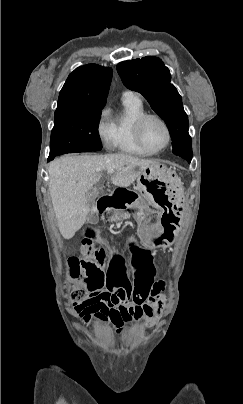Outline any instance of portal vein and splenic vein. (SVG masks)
Instances as JSON below:
<instances>
[{
    "label": "portal vein and splenic vein",
    "mask_w": 243,
    "mask_h": 404,
    "mask_svg": "<svg viewBox=\"0 0 243 404\" xmlns=\"http://www.w3.org/2000/svg\"><path fill=\"white\" fill-rule=\"evenodd\" d=\"M114 170H108V174H113Z\"/></svg>",
    "instance_id": "obj_1"
}]
</instances>
